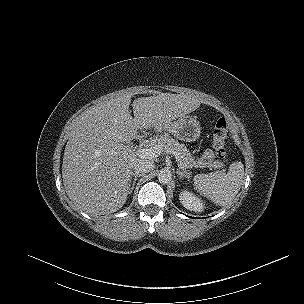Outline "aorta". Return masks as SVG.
I'll return each instance as SVG.
<instances>
[{
	"label": "aorta",
	"mask_w": 304,
	"mask_h": 304,
	"mask_svg": "<svg viewBox=\"0 0 304 304\" xmlns=\"http://www.w3.org/2000/svg\"><path fill=\"white\" fill-rule=\"evenodd\" d=\"M157 176H158L159 182L162 183V184H166V183L170 182V180L172 178L171 171L168 170V169H161L158 172Z\"/></svg>",
	"instance_id": "1"
}]
</instances>
